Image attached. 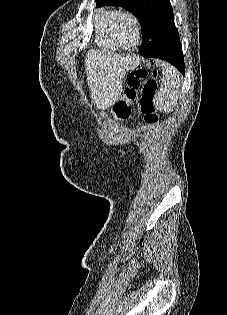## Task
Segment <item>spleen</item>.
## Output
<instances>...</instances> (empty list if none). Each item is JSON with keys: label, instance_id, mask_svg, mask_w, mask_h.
I'll return each instance as SVG.
<instances>
[{"label": "spleen", "instance_id": "obj_1", "mask_svg": "<svg viewBox=\"0 0 227 315\" xmlns=\"http://www.w3.org/2000/svg\"><path fill=\"white\" fill-rule=\"evenodd\" d=\"M163 74L164 78L157 92L156 102L159 110L170 112L181 93L180 78L177 72L168 65L163 66Z\"/></svg>", "mask_w": 227, "mask_h": 315}]
</instances>
